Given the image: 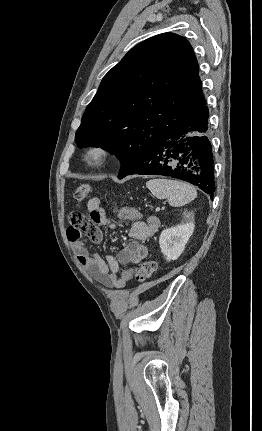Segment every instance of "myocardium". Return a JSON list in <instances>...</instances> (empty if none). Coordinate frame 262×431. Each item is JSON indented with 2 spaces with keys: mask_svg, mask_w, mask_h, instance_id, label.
<instances>
[{
  "mask_svg": "<svg viewBox=\"0 0 262 431\" xmlns=\"http://www.w3.org/2000/svg\"><path fill=\"white\" fill-rule=\"evenodd\" d=\"M111 157V149L104 144H93L87 148L84 154L85 163L90 168L103 167Z\"/></svg>",
  "mask_w": 262,
  "mask_h": 431,
  "instance_id": "1",
  "label": "myocardium"
}]
</instances>
